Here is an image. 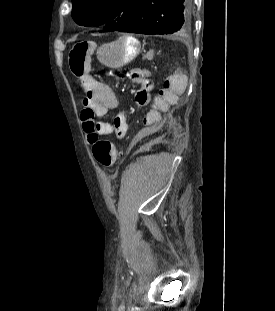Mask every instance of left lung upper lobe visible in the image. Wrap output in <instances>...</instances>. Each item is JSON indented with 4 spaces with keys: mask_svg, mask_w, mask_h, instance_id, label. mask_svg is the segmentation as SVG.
Masks as SVG:
<instances>
[{
    "mask_svg": "<svg viewBox=\"0 0 275 311\" xmlns=\"http://www.w3.org/2000/svg\"><path fill=\"white\" fill-rule=\"evenodd\" d=\"M142 0H72V17L79 25L104 24L108 31L119 29L137 10Z\"/></svg>",
    "mask_w": 275,
    "mask_h": 311,
    "instance_id": "left-lung-upper-lobe-1",
    "label": "left lung upper lobe"
}]
</instances>
